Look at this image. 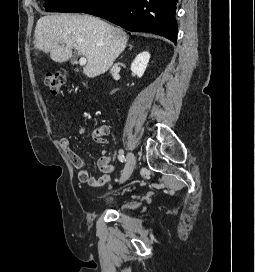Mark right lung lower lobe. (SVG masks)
<instances>
[{
	"label": "right lung lower lobe",
	"instance_id": "right-lung-lower-lobe-1",
	"mask_svg": "<svg viewBox=\"0 0 255 272\" xmlns=\"http://www.w3.org/2000/svg\"><path fill=\"white\" fill-rule=\"evenodd\" d=\"M176 0H98L83 13L134 32H152L177 41Z\"/></svg>",
	"mask_w": 255,
	"mask_h": 272
}]
</instances>
